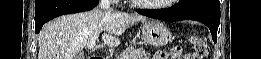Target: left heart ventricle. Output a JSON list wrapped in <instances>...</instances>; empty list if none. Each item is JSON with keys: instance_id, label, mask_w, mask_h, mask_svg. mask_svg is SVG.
Segmentation results:
<instances>
[{"instance_id": "left-heart-ventricle-1", "label": "left heart ventricle", "mask_w": 261, "mask_h": 59, "mask_svg": "<svg viewBox=\"0 0 261 59\" xmlns=\"http://www.w3.org/2000/svg\"><path fill=\"white\" fill-rule=\"evenodd\" d=\"M144 2H147V3H164V2H167L166 0H155V1H144Z\"/></svg>"}]
</instances>
